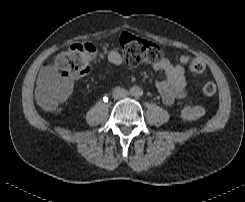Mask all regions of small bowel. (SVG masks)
<instances>
[{"instance_id": "obj_1", "label": "small bowel", "mask_w": 245, "mask_h": 202, "mask_svg": "<svg viewBox=\"0 0 245 202\" xmlns=\"http://www.w3.org/2000/svg\"><path fill=\"white\" fill-rule=\"evenodd\" d=\"M106 59L113 65L122 63L121 54L114 49L106 53ZM153 67L164 75L162 79L156 82V88L166 105H172L177 98H183L186 95L187 79L182 66L172 64L168 59H162L155 63ZM57 81L61 82L62 86L68 90L69 95L72 93L74 88L73 81L68 77L57 79L55 74L48 68L40 72L37 80V90L51 86Z\"/></svg>"}]
</instances>
